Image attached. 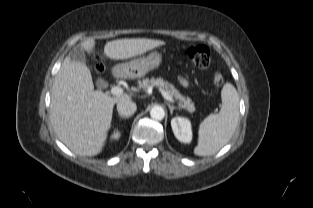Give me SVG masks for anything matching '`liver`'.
Segmentation results:
<instances>
[{
  "label": "liver",
  "instance_id": "obj_1",
  "mask_svg": "<svg viewBox=\"0 0 313 208\" xmlns=\"http://www.w3.org/2000/svg\"><path fill=\"white\" fill-rule=\"evenodd\" d=\"M161 40L132 38L107 42L104 54L113 60L129 59L164 45ZM94 53L95 40L81 43ZM131 100L127 94L110 97L94 90L89 69L67 56L55 76L51 90L50 119L55 133L71 151L81 156L99 154L111 127L115 103Z\"/></svg>",
  "mask_w": 313,
  "mask_h": 208
}]
</instances>
